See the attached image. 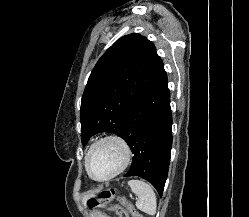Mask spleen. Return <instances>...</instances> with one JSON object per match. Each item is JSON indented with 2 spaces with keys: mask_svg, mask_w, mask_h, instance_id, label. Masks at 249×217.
<instances>
[{
  "mask_svg": "<svg viewBox=\"0 0 249 217\" xmlns=\"http://www.w3.org/2000/svg\"><path fill=\"white\" fill-rule=\"evenodd\" d=\"M128 185L131 191L139 197L136 207L151 216L155 215L157 199L153 188L142 180H130Z\"/></svg>",
  "mask_w": 249,
  "mask_h": 217,
  "instance_id": "obj_1",
  "label": "spleen"
}]
</instances>
